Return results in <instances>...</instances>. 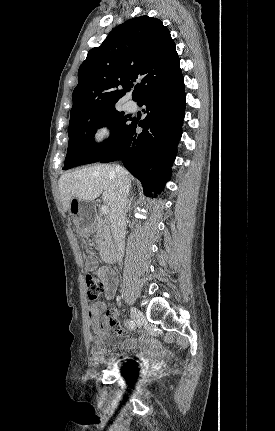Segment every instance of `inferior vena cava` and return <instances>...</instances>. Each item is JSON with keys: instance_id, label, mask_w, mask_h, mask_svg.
<instances>
[{"instance_id": "1", "label": "inferior vena cava", "mask_w": 275, "mask_h": 431, "mask_svg": "<svg viewBox=\"0 0 275 431\" xmlns=\"http://www.w3.org/2000/svg\"><path fill=\"white\" fill-rule=\"evenodd\" d=\"M115 171L118 179V190L110 208L109 221L111 223V231L117 248L116 259L120 264L122 262L125 248V213L127 196L130 190V179L122 167L116 166Z\"/></svg>"}]
</instances>
